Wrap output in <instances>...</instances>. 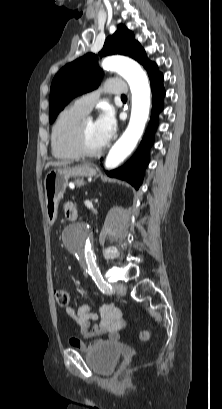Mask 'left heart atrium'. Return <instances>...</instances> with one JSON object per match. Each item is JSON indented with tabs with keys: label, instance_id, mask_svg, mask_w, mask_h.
Here are the masks:
<instances>
[{
	"label": "left heart atrium",
	"instance_id": "obj_1",
	"mask_svg": "<svg viewBox=\"0 0 222 409\" xmlns=\"http://www.w3.org/2000/svg\"><path fill=\"white\" fill-rule=\"evenodd\" d=\"M101 145L105 146L113 137L116 130V121L111 109H104L95 122Z\"/></svg>",
	"mask_w": 222,
	"mask_h": 409
}]
</instances>
